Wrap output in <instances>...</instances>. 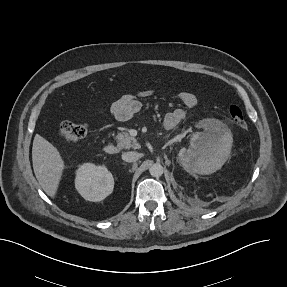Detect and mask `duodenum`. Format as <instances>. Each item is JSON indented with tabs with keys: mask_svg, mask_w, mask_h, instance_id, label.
Returning a JSON list of instances; mask_svg holds the SVG:
<instances>
[{
	"mask_svg": "<svg viewBox=\"0 0 287 287\" xmlns=\"http://www.w3.org/2000/svg\"><path fill=\"white\" fill-rule=\"evenodd\" d=\"M118 149H117V146L113 143H108L106 146H105V152L107 154H115L117 153Z\"/></svg>",
	"mask_w": 287,
	"mask_h": 287,
	"instance_id": "410a0bca",
	"label": "duodenum"
}]
</instances>
